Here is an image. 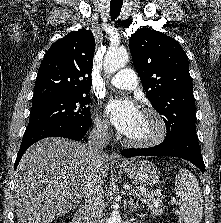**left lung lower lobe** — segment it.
Here are the masks:
<instances>
[{
    "label": "left lung lower lobe",
    "instance_id": "obj_1",
    "mask_svg": "<svg viewBox=\"0 0 221 223\" xmlns=\"http://www.w3.org/2000/svg\"><path fill=\"white\" fill-rule=\"evenodd\" d=\"M125 157L133 156H175L183 158L196 165L202 173L205 172V165L198 143L196 132H183L173 138L164 140L161 144L144 149H125L122 151Z\"/></svg>",
    "mask_w": 221,
    "mask_h": 223
}]
</instances>
